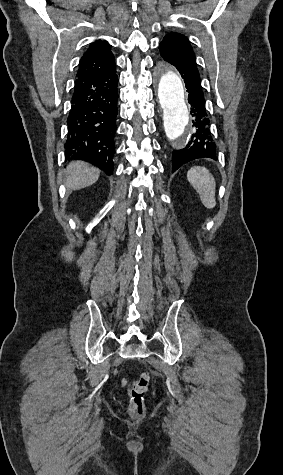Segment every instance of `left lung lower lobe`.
I'll return each instance as SVG.
<instances>
[{
    "mask_svg": "<svg viewBox=\"0 0 283 475\" xmlns=\"http://www.w3.org/2000/svg\"><path fill=\"white\" fill-rule=\"evenodd\" d=\"M174 65L181 73L188 92V102L191 106L195 128L191 140L185 148L175 150L172 154V172L183 164L197 158L217 159V146L210 131V120L205 106V98L197 65L192 63H176Z\"/></svg>",
    "mask_w": 283,
    "mask_h": 475,
    "instance_id": "obj_1",
    "label": "left lung lower lobe"
}]
</instances>
